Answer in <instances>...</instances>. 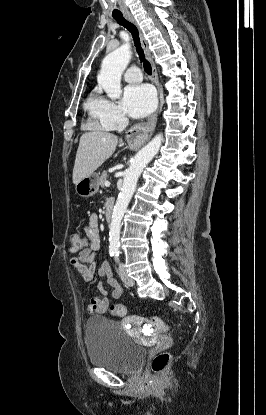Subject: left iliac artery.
<instances>
[{"label": "left iliac artery", "mask_w": 266, "mask_h": 415, "mask_svg": "<svg viewBox=\"0 0 266 415\" xmlns=\"http://www.w3.org/2000/svg\"><path fill=\"white\" fill-rule=\"evenodd\" d=\"M118 257H119V252H116L115 253V259L118 260Z\"/></svg>", "instance_id": "1"}]
</instances>
